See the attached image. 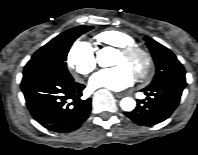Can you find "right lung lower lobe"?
<instances>
[{"label": "right lung lower lobe", "instance_id": "98d812e1", "mask_svg": "<svg viewBox=\"0 0 198 155\" xmlns=\"http://www.w3.org/2000/svg\"><path fill=\"white\" fill-rule=\"evenodd\" d=\"M21 88L31 115L50 131L67 133L79 128L91 111V99H82L85 86L46 74L23 76Z\"/></svg>", "mask_w": 198, "mask_h": 155}]
</instances>
